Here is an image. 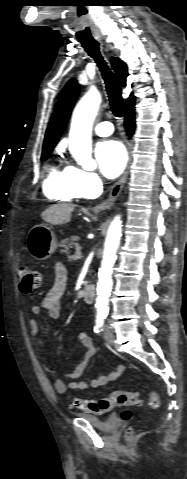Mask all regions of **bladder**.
Wrapping results in <instances>:
<instances>
[{"label": "bladder", "mask_w": 187, "mask_h": 479, "mask_svg": "<svg viewBox=\"0 0 187 479\" xmlns=\"http://www.w3.org/2000/svg\"><path fill=\"white\" fill-rule=\"evenodd\" d=\"M76 415L79 418L87 420L98 430L105 433L113 432L117 426V424L110 417L101 419L86 413H76Z\"/></svg>", "instance_id": "31cf9c89"}]
</instances>
